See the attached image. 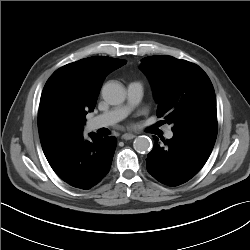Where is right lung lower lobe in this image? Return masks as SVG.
Wrapping results in <instances>:
<instances>
[{"label":"right lung lower lobe","mask_w":250,"mask_h":250,"mask_svg":"<svg viewBox=\"0 0 250 250\" xmlns=\"http://www.w3.org/2000/svg\"><path fill=\"white\" fill-rule=\"evenodd\" d=\"M67 138L44 154L54 172L67 184L90 189L97 185L109 172L117 140L90 133Z\"/></svg>","instance_id":"1"}]
</instances>
